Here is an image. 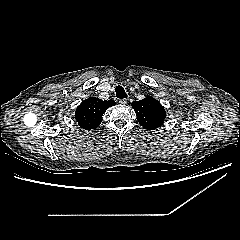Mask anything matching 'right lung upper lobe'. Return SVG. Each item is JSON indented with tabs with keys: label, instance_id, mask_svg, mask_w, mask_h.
I'll list each match as a JSON object with an SVG mask.
<instances>
[{
	"label": "right lung upper lobe",
	"instance_id": "1",
	"mask_svg": "<svg viewBox=\"0 0 240 240\" xmlns=\"http://www.w3.org/2000/svg\"><path fill=\"white\" fill-rule=\"evenodd\" d=\"M115 104L116 103L113 100L103 101L95 97L84 100L77 107L75 113L78 125L87 130L97 128L101 123L104 112Z\"/></svg>",
	"mask_w": 240,
	"mask_h": 240
}]
</instances>
